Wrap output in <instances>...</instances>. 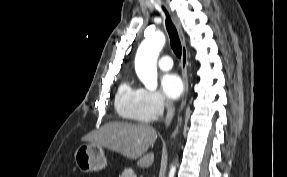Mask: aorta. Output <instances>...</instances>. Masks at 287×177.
Returning <instances> with one entry per match:
<instances>
[{"label": "aorta", "mask_w": 287, "mask_h": 177, "mask_svg": "<svg viewBox=\"0 0 287 177\" xmlns=\"http://www.w3.org/2000/svg\"><path fill=\"white\" fill-rule=\"evenodd\" d=\"M165 41V35L161 32H157L141 43L136 54V73L149 90H155L157 88V58ZM175 172L176 167L172 165L168 177H174Z\"/></svg>", "instance_id": "obj_1"}]
</instances>
